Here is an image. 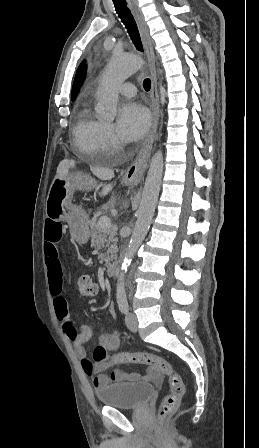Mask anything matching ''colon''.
I'll list each match as a JSON object with an SVG mask.
<instances>
[{"instance_id": "obj_1", "label": "colon", "mask_w": 259, "mask_h": 448, "mask_svg": "<svg viewBox=\"0 0 259 448\" xmlns=\"http://www.w3.org/2000/svg\"><path fill=\"white\" fill-rule=\"evenodd\" d=\"M79 298L93 297L97 294L96 283L88 276H79L76 280ZM97 362L110 361L113 364L144 363L156 367L169 380V393L163 399L157 416L158 430H162L169 416L178 408L184 395V384L172 365L165 359L150 353H118L109 355L103 346H97L93 352Z\"/></svg>"}]
</instances>
